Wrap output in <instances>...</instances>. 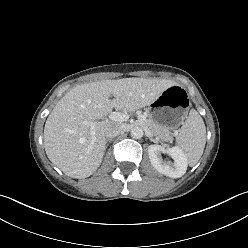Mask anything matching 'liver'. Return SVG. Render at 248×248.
Returning a JSON list of instances; mask_svg holds the SVG:
<instances>
[{
  "label": "liver",
  "mask_w": 248,
  "mask_h": 248,
  "mask_svg": "<svg viewBox=\"0 0 248 248\" xmlns=\"http://www.w3.org/2000/svg\"><path fill=\"white\" fill-rule=\"evenodd\" d=\"M172 80L123 78L78 85L67 92L48 116L44 127V147L49 160L69 177L82 179L100 166L106 148L105 129L114 121H103L94 130L90 126L112 109L135 111L150 105ZM113 99H109L110 95Z\"/></svg>",
  "instance_id": "6515ba94"
}]
</instances>
